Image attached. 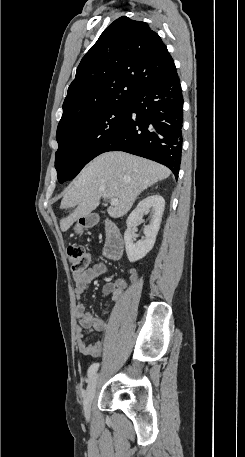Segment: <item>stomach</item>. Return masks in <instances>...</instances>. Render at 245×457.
<instances>
[{
  "instance_id": "0dacf381",
  "label": "stomach",
  "mask_w": 245,
  "mask_h": 457,
  "mask_svg": "<svg viewBox=\"0 0 245 457\" xmlns=\"http://www.w3.org/2000/svg\"><path fill=\"white\" fill-rule=\"evenodd\" d=\"M92 222H90L89 216H84L79 220L78 224L75 226V233H83V229H88V226H91Z\"/></svg>"
}]
</instances>
